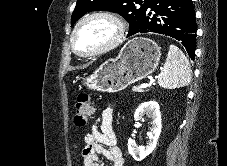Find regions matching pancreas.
Returning a JSON list of instances; mask_svg holds the SVG:
<instances>
[{"label": "pancreas", "mask_w": 227, "mask_h": 166, "mask_svg": "<svg viewBox=\"0 0 227 166\" xmlns=\"http://www.w3.org/2000/svg\"><path fill=\"white\" fill-rule=\"evenodd\" d=\"M133 91L142 92L143 90L140 88V86H138V87H133Z\"/></svg>", "instance_id": "cf45deb5"}]
</instances>
